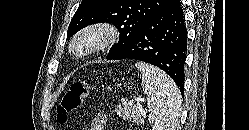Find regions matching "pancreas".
I'll use <instances>...</instances> for the list:
<instances>
[{
    "mask_svg": "<svg viewBox=\"0 0 249 130\" xmlns=\"http://www.w3.org/2000/svg\"><path fill=\"white\" fill-rule=\"evenodd\" d=\"M115 111L123 118V120L137 124L143 122V118L140 113L141 110L127 101H123L122 106H116Z\"/></svg>",
    "mask_w": 249,
    "mask_h": 130,
    "instance_id": "1",
    "label": "pancreas"
}]
</instances>
